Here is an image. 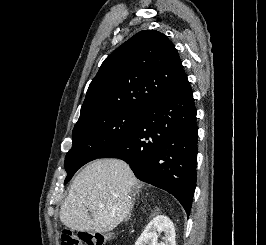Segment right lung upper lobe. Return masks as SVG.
<instances>
[{"mask_svg":"<svg viewBox=\"0 0 266 245\" xmlns=\"http://www.w3.org/2000/svg\"><path fill=\"white\" fill-rule=\"evenodd\" d=\"M187 81L174 44L159 31H140L103 62L89 85L80 118L107 108L146 111Z\"/></svg>","mask_w":266,"mask_h":245,"instance_id":"obj_1","label":"right lung upper lobe"}]
</instances>
